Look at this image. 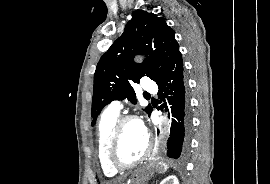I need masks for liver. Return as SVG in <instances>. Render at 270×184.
I'll list each match as a JSON object with an SVG mask.
<instances>
[{
	"instance_id": "obj_1",
	"label": "liver",
	"mask_w": 270,
	"mask_h": 184,
	"mask_svg": "<svg viewBox=\"0 0 270 184\" xmlns=\"http://www.w3.org/2000/svg\"><path fill=\"white\" fill-rule=\"evenodd\" d=\"M108 184H117V183L115 182V183H108Z\"/></svg>"
}]
</instances>
